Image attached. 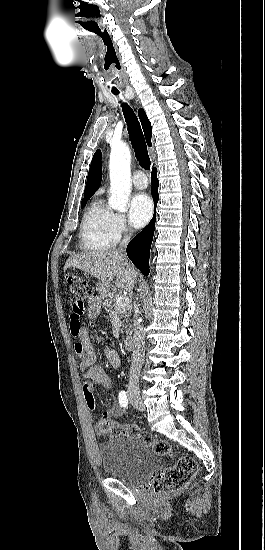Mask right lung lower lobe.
<instances>
[{"instance_id":"right-lung-lower-lobe-1","label":"right lung lower lobe","mask_w":265,"mask_h":550,"mask_svg":"<svg viewBox=\"0 0 265 550\" xmlns=\"http://www.w3.org/2000/svg\"><path fill=\"white\" fill-rule=\"evenodd\" d=\"M151 182L154 206H156L159 199V181L157 179L156 168L152 169ZM155 221L156 215L154 214V217L150 223L138 235H136L127 246L128 257L144 275H148L149 273V251L153 240Z\"/></svg>"}]
</instances>
